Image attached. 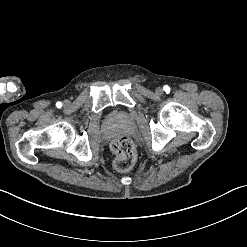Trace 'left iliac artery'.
<instances>
[{
	"label": "left iliac artery",
	"mask_w": 247,
	"mask_h": 247,
	"mask_svg": "<svg viewBox=\"0 0 247 247\" xmlns=\"http://www.w3.org/2000/svg\"><path fill=\"white\" fill-rule=\"evenodd\" d=\"M164 90L167 92V91H170V87L169 86H164Z\"/></svg>",
	"instance_id": "1"
}]
</instances>
